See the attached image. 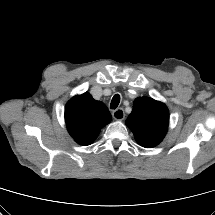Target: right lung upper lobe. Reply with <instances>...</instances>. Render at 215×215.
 I'll return each mask as SVG.
<instances>
[{
  "label": "right lung upper lobe",
  "instance_id": "1",
  "mask_svg": "<svg viewBox=\"0 0 215 215\" xmlns=\"http://www.w3.org/2000/svg\"><path fill=\"white\" fill-rule=\"evenodd\" d=\"M69 134L80 145L91 144L102 127L111 121L107 107L88 93L73 97L65 108Z\"/></svg>",
  "mask_w": 215,
  "mask_h": 215
}]
</instances>
